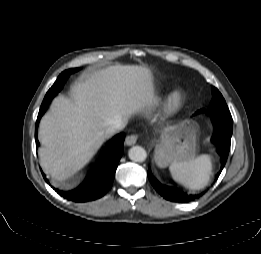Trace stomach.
<instances>
[{"label": "stomach", "instance_id": "0dacf381", "mask_svg": "<svg viewBox=\"0 0 261 254\" xmlns=\"http://www.w3.org/2000/svg\"><path fill=\"white\" fill-rule=\"evenodd\" d=\"M198 125L196 122L181 123L167 129L156 146L155 160L166 166L194 157L197 150Z\"/></svg>", "mask_w": 261, "mask_h": 254}]
</instances>
